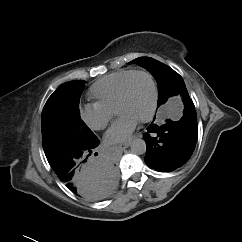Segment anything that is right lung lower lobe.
<instances>
[{
	"label": "right lung lower lobe",
	"instance_id": "1",
	"mask_svg": "<svg viewBox=\"0 0 242 242\" xmlns=\"http://www.w3.org/2000/svg\"><path fill=\"white\" fill-rule=\"evenodd\" d=\"M98 144L96 138L88 146L58 153L48 160L70 191L92 201L104 199L117 185V169L111 160L89 158Z\"/></svg>",
	"mask_w": 242,
	"mask_h": 242
}]
</instances>
